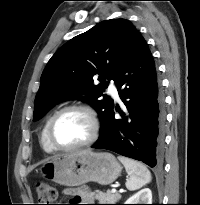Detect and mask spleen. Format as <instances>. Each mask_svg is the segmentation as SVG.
Wrapping results in <instances>:
<instances>
[{
    "mask_svg": "<svg viewBox=\"0 0 200 205\" xmlns=\"http://www.w3.org/2000/svg\"><path fill=\"white\" fill-rule=\"evenodd\" d=\"M118 159L129 175L125 183L128 190H137L151 181V173L144 164L124 156H118Z\"/></svg>",
    "mask_w": 200,
    "mask_h": 205,
    "instance_id": "3e777b00",
    "label": "spleen"
}]
</instances>
